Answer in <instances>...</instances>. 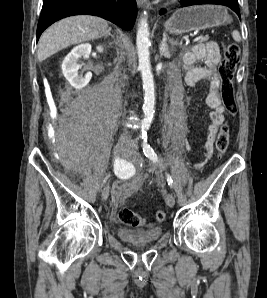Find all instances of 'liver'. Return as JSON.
I'll return each mask as SVG.
<instances>
[{
    "instance_id": "liver-1",
    "label": "liver",
    "mask_w": 267,
    "mask_h": 298,
    "mask_svg": "<svg viewBox=\"0 0 267 298\" xmlns=\"http://www.w3.org/2000/svg\"><path fill=\"white\" fill-rule=\"evenodd\" d=\"M107 31L108 23L99 17L79 15L65 18L47 28L41 35L38 60L43 61L71 45L101 38Z\"/></svg>"
}]
</instances>
